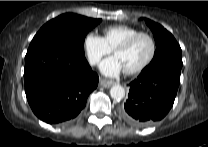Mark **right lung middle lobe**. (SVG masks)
Masks as SVG:
<instances>
[{
    "mask_svg": "<svg viewBox=\"0 0 208 147\" xmlns=\"http://www.w3.org/2000/svg\"><path fill=\"white\" fill-rule=\"evenodd\" d=\"M101 22L73 13L62 14L41 27L30 43L28 51L62 44L84 55V39L87 33Z\"/></svg>",
    "mask_w": 208,
    "mask_h": 147,
    "instance_id": "dd1d6c3e",
    "label": "right lung middle lobe"
}]
</instances>
